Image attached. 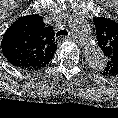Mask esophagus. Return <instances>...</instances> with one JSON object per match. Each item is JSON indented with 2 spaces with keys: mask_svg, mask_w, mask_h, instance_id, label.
<instances>
[{
  "mask_svg": "<svg viewBox=\"0 0 118 118\" xmlns=\"http://www.w3.org/2000/svg\"><path fill=\"white\" fill-rule=\"evenodd\" d=\"M63 39L64 40H70V39L76 40V37H74V36H65Z\"/></svg>",
  "mask_w": 118,
  "mask_h": 118,
  "instance_id": "34e87169",
  "label": "esophagus"
}]
</instances>
